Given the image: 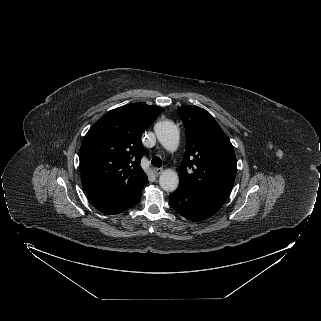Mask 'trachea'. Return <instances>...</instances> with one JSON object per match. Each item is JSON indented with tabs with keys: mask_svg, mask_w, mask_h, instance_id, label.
Here are the masks:
<instances>
[{
	"mask_svg": "<svg viewBox=\"0 0 321 321\" xmlns=\"http://www.w3.org/2000/svg\"><path fill=\"white\" fill-rule=\"evenodd\" d=\"M151 164L155 167H161L162 165V161L160 159V157L155 156L152 160H151Z\"/></svg>",
	"mask_w": 321,
	"mask_h": 321,
	"instance_id": "1",
	"label": "trachea"
}]
</instances>
